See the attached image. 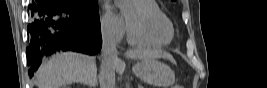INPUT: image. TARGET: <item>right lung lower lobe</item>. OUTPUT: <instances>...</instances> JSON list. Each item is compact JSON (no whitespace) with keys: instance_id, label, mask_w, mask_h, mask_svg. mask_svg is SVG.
Returning a JSON list of instances; mask_svg holds the SVG:
<instances>
[{"instance_id":"1","label":"right lung lower lobe","mask_w":267,"mask_h":88,"mask_svg":"<svg viewBox=\"0 0 267 88\" xmlns=\"http://www.w3.org/2000/svg\"><path fill=\"white\" fill-rule=\"evenodd\" d=\"M29 9L33 21L28 25L26 55L31 76L43 56L61 50L94 55L101 49L99 12L85 13L67 0H34Z\"/></svg>"}]
</instances>
